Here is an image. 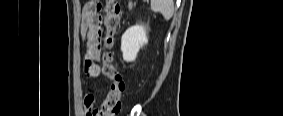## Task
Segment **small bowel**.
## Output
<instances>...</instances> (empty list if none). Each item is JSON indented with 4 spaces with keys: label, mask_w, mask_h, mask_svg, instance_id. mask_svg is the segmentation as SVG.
Here are the masks:
<instances>
[{
    "label": "small bowel",
    "mask_w": 283,
    "mask_h": 116,
    "mask_svg": "<svg viewBox=\"0 0 283 116\" xmlns=\"http://www.w3.org/2000/svg\"><path fill=\"white\" fill-rule=\"evenodd\" d=\"M99 9V1H91L82 11L81 34L86 43L83 69L90 80H95L100 75L99 57L102 24L98 13ZM84 109L89 116H103L102 112L95 108V97L91 93L85 96Z\"/></svg>",
    "instance_id": "obj_1"
}]
</instances>
